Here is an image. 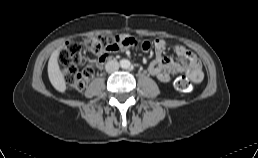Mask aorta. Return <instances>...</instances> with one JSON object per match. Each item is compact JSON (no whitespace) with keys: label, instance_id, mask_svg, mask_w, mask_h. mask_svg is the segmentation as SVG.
Segmentation results:
<instances>
[{"label":"aorta","instance_id":"obj_1","mask_svg":"<svg viewBox=\"0 0 258 158\" xmlns=\"http://www.w3.org/2000/svg\"><path fill=\"white\" fill-rule=\"evenodd\" d=\"M120 64H121V67L124 68V69H128L131 66L130 61L127 60V59L121 60Z\"/></svg>","mask_w":258,"mask_h":158}]
</instances>
